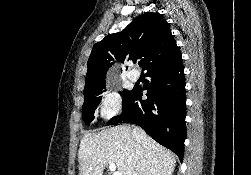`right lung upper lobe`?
Returning <instances> with one entry per match:
<instances>
[{
	"instance_id": "cb5924a9",
	"label": "right lung upper lobe",
	"mask_w": 251,
	"mask_h": 175,
	"mask_svg": "<svg viewBox=\"0 0 251 175\" xmlns=\"http://www.w3.org/2000/svg\"><path fill=\"white\" fill-rule=\"evenodd\" d=\"M181 57L169 23L157 12L136 17L123 31L109 34L93 46L85 88L106 85L108 69L117 61L141 59L147 71Z\"/></svg>"
}]
</instances>
